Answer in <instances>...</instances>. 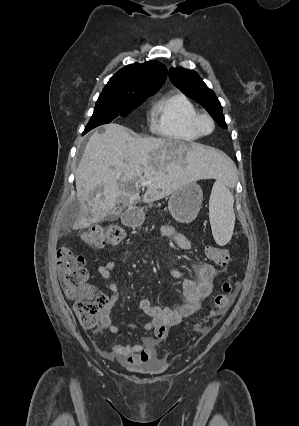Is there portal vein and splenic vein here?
Masks as SVG:
<instances>
[{
  "mask_svg": "<svg viewBox=\"0 0 299 426\" xmlns=\"http://www.w3.org/2000/svg\"><path fill=\"white\" fill-rule=\"evenodd\" d=\"M150 184V182H148V181H142L141 183H140V185L142 186V187H145V186H147V185H149Z\"/></svg>",
  "mask_w": 299,
  "mask_h": 426,
  "instance_id": "portal-vein-and-splenic-vein-1",
  "label": "portal vein and splenic vein"
}]
</instances>
